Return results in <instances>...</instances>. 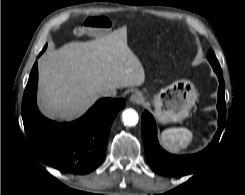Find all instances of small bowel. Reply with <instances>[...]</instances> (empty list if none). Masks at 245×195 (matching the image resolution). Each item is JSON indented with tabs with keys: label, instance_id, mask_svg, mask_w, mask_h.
<instances>
[{
	"label": "small bowel",
	"instance_id": "c3829d8e",
	"mask_svg": "<svg viewBox=\"0 0 245 195\" xmlns=\"http://www.w3.org/2000/svg\"><path fill=\"white\" fill-rule=\"evenodd\" d=\"M111 27V21L104 16L88 17L82 27L75 29V33L81 35L83 33L99 34L107 31Z\"/></svg>",
	"mask_w": 245,
	"mask_h": 195
}]
</instances>
